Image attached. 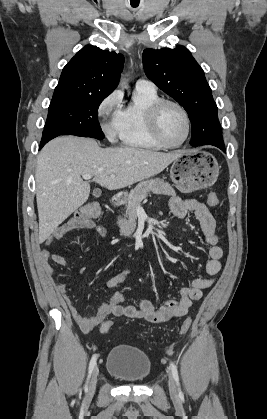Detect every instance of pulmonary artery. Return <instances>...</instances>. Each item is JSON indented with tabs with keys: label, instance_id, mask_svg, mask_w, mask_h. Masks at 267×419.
Wrapping results in <instances>:
<instances>
[{
	"label": "pulmonary artery",
	"instance_id": "pulmonary-artery-1",
	"mask_svg": "<svg viewBox=\"0 0 267 419\" xmlns=\"http://www.w3.org/2000/svg\"><path fill=\"white\" fill-rule=\"evenodd\" d=\"M136 88L137 89H150V90H153V89H155V85L151 81H149V80L139 79L136 82Z\"/></svg>",
	"mask_w": 267,
	"mask_h": 419
}]
</instances>
